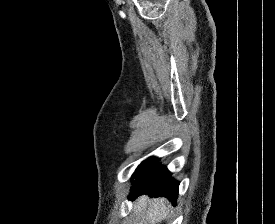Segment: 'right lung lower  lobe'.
I'll list each match as a JSON object with an SVG mask.
<instances>
[{
    "instance_id": "1",
    "label": "right lung lower lobe",
    "mask_w": 275,
    "mask_h": 224,
    "mask_svg": "<svg viewBox=\"0 0 275 224\" xmlns=\"http://www.w3.org/2000/svg\"><path fill=\"white\" fill-rule=\"evenodd\" d=\"M158 158L145 160L134 172L130 198L141 194L151 197H167L174 204L177 201L179 183L171 178V173L165 167L157 165Z\"/></svg>"
}]
</instances>
